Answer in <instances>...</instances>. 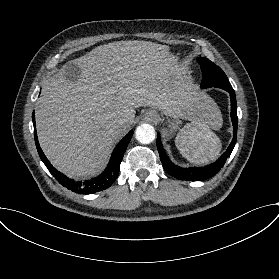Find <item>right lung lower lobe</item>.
<instances>
[{"label": "right lung lower lobe", "instance_id": "1", "mask_svg": "<svg viewBox=\"0 0 279 279\" xmlns=\"http://www.w3.org/2000/svg\"><path fill=\"white\" fill-rule=\"evenodd\" d=\"M32 119L34 124V136H35V143L39 153V156L45 166L48 168L50 173L56 178V180L64 187L68 188L69 190L79 193V194H93L102 190L107 189L110 187L113 182L117 179L119 170H120V163L123 159L124 153L127 149V146L131 140L133 131H130L116 146L114 149L110 162L105 169V171L96 178H92L89 180L84 181H74L73 179L68 178L58 170H56L50 162L47 160L46 156L44 155L43 151L40 148L37 134H36V124H35V115L34 112L32 113Z\"/></svg>", "mask_w": 279, "mask_h": 279}]
</instances>
